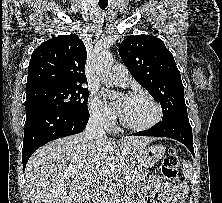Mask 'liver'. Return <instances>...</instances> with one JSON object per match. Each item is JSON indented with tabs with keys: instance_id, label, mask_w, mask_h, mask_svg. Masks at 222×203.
I'll return each instance as SVG.
<instances>
[{
	"instance_id": "obj_1",
	"label": "liver",
	"mask_w": 222,
	"mask_h": 203,
	"mask_svg": "<svg viewBox=\"0 0 222 203\" xmlns=\"http://www.w3.org/2000/svg\"><path fill=\"white\" fill-rule=\"evenodd\" d=\"M153 141L145 136L86 140L85 133L54 140L39 148L25 168L32 203H86L98 186L106 185L136 153Z\"/></svg>"
}]
</instances>
